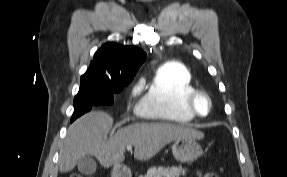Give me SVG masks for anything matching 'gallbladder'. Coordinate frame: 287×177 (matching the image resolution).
Wrapping results in <instances>:
<instances>
[{
  "instance_id": "bac80fb5",
  "label": "gallbladder",
  "mask_w": 287,
  "mask_h": 177,
  "mask_svg": "<svg viewBox=\"0 0 287 177\" xmlns=\"http://www.w3.org/2000/svg\"><path fill=\"white\" fill-rule=\"evenodd\" d=\"M77 167L81 174L92 175L97 169V164L91 156H84L78 160Z\"/></svg>"
}]
</instances>
